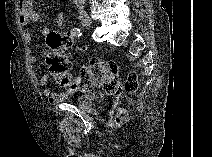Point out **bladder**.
<instances>
[{"instance_id":"1","label":"bladder","mask_w":212,"mask_h":157,"mask_svg":"<svg viewBox=\"0 0 212 157\" xmlns=\"http://www.w3.org/2000/svg\"><path fill=\"white\" fill-rule=\"evenodd\" d=\"M107 103L106 93L99 91H85L73 97V104L86 112H100Z\"/></svg>"}]
</instances>
